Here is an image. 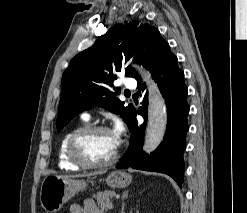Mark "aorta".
Wrapping results in <instances>:
<instances>
[{"label":"aorta","instance_id":"762f6f07","mask_svg":"<svg viewBox=\"0 0 247 213\" xmlns=\"http://www.w3.org/2000/svg\"><path fill=\"white\" fill-rule=\"evenodd\" d=\"M148 86V124L144 139V151H154L163 140L167 126V108L165 101L152 80L151 75L142 66L134 65Z\"/></svg>","mask_w":247,"mask_h":213}]
</instances>
